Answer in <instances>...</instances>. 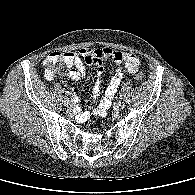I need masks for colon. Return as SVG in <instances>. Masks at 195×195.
<instances>
[{"mask_svg": "<svg viewBox=\"0 0 195 195\" xmlns=\"http://www.w3.org/2000/svg\"><path fill=\"white\" fill-rule=\"evenodd\" d=\"M44 66L46 69V75L50 78L56 75H63L69 68V59L65 53L54 52L46 57L44 60ZM134 78L137 81L144 79L143 73H136Z\"/></svg>", "mask_w": 195, "mask_h": 195, "instance_id": "5ec220e1", "label": "colon"}]
</instances>
